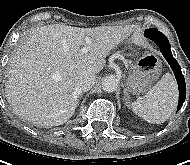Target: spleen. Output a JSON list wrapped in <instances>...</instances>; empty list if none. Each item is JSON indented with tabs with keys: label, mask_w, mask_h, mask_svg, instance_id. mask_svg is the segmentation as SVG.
<instances>
[{
	"label": "spleen",
	"mask_w": 190,
	"mask_h": 165,
	"mask_svg": "<svg viewBox=\"0 0 190 165\" xmlns=\"http://www.w3.org/2000/svg\"><path fill=\"white\" fill-rule=\"evenodd\" d=\"M178 102V87L170 73L163 77L146 95L131 104L132 111L149 123L161 124L174 112Z\"/></svg>",
	"instance_id": "3e777b00"
}]
</instances>
